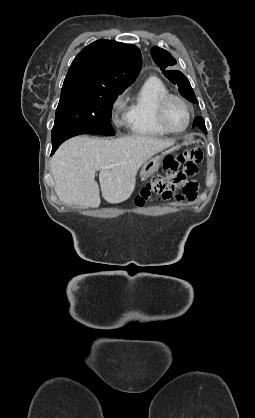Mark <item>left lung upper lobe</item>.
<instances>
[{
	"label": "left lung upper lobe",
	"instance_id": "1",
	"mask_svg": "<svg viewBox=\"0 0 255 418\" xmlns=\"http://www.w3.org/2000/svg\"><path fill=\"white\" fill-rule=\"evenodd\" d=\"M151 56L155 63L160 67L162 73L172 82L179 87L180 94L187 100L198 103L194 91L190 85L186 76L178 70H168L169 67L176 64V60L166 50L155 46L151 48Z\"/></svg>",
	"mask_w": 255,
	"mask_h": 418
}]
</instances>
